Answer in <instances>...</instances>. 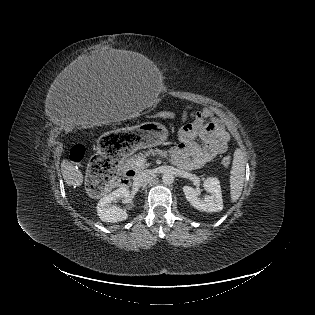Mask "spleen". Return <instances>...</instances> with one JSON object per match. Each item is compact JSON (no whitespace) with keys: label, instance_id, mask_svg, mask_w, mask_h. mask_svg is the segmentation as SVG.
Segmentation results:
<instances>
[{"label":"spleen","instance_id":"1","mask_svg":"<svg viewBox=\"0 0 315 315\" xmlns=\"http://www.w3.org/2000/svg\"><path fill=\"white\" fill-rule=\"evenodd\" d=\"M245 163L243 152L237 149L234 153L230 172V196L232 202H236L241 196L245 179Z\"/></svg>","mask_w":315,"mask_h":315}]
</instances>
